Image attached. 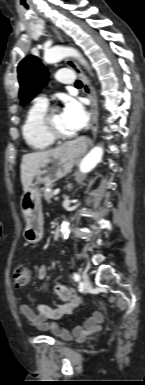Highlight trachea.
<instances>
[{"instance_id": "obj_1", "label": "trachea", "mask_w": 145, "mask_h": 385, "mask_svg": "<svg viewBox=\"0 0 145 385\" xmlns=\"http://www.w3.org/2000/svg\"><path fill=\"white\" fill-rule=\"evenodd\" d=\"M75 86H76V87H82V82H81L80 80H77V81L75 82Z\"/></svg>"}]
</instances>
